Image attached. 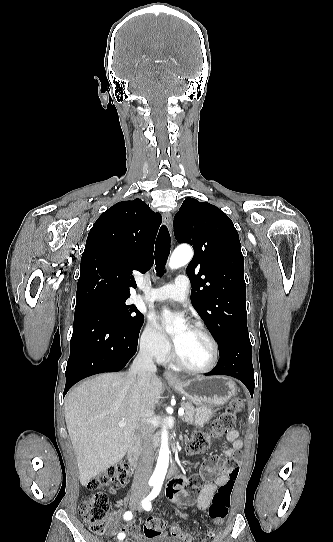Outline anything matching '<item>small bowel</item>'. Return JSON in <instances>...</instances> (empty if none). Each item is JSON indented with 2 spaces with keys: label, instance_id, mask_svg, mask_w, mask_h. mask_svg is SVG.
<instances>
[{
  "label": "small bowel",
  "instance_id": "obj_1",
  "mask_svg": "<svg viewBox=\"0 0 333 542\" xmlns=\"http://www.w3.org/2000/svg\"><path fill=\"white\" fill-rule=\"evenodd\" d=\"M226 439L232 446L230 448L225 449L223 452V455L225 457H232V460L235 463H240L243 460V455L240 453L241 449L243 448V441L240 439L239 430L237 429L230 430L226 435ZM210 460L212 462H218L220 460V455L218 453H212L210 455ZM205 473L206 474L214 473L217 475V477L215 481H211L205 484L203 488L201 489L200 494L197 497L196 505L198 509L201 511L208 508L213 498V495L216 492L218 487L228 482L234 483L233 479H231L225 473L221 472L219 469L206 468ZM187 483H188L187 477L182 474L177 473L176 475L171 476L165 486V495L167 499L178 505H190L192 500L186 489ZM173 529L177 532V535L174 537L179 538L182 542H183L182 540L183 536L190 537L188 534L182 532L176 526H174ZM117 530L119 533H122V534L131 532L134 534L136 538H138L139 542L144 541L143 537L139 533L134 531L133 526L131 524L119 525L117 526ZM117 530L115 529L111 530L110 532L111 535L113 536L117 535L118 533Z\"/></svg>",
  "mask_w": 333,
  "mask_h": 542
}]
</instances>
